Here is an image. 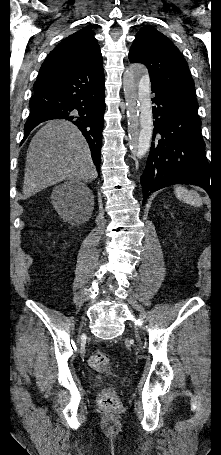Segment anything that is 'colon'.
<instances>
[{"label":"colon","instance_id":"5ec220e1","mask_svg":"<svg viewBox=\"0 0 221 455\" xmlns=\"http://www.w3.org/2000/svg\"><path fill=\"white\" fill-rule=\"evenodd\" d=\"M89 365L92 369L102 372L110 368L111 360L105 353L95 352L89 359ZM98 402L101 408L108 411H115L120 406L119 398L112 388L104 389L99 395Z\"/></svg>","mask_w":221,"mask_h":455}]
</instances>
